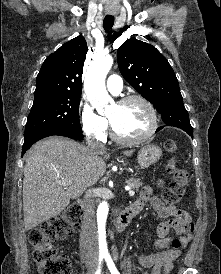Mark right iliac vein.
Segmentation results:
<instances>
[{
    "instance_id": "right-iliac-vein-1",
    "label": "right iliac vein",
    "mask_w": 221,
    "mask_h": 274,
    "mask_svg": "<svg viewBox=\"0 0 221 274\" xmlns=\"http://www.w3.org/2000/svg\"><path fill=\"white\" fill-rule=\"evenodd\" d=\"M95 272V266L91 265L89 268H88V274H94Z\"/></svg>"
}]
</instances>
